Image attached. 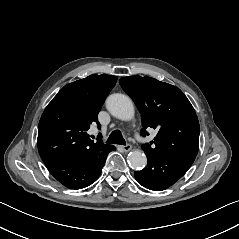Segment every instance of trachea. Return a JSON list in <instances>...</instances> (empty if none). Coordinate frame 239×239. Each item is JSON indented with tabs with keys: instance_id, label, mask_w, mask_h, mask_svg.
Masks as SVG:
<instances>
[{
	"instance_id": "trachea-1",
	"label": "trachea",
	"mask_w": 239,
	"mask_h": 239,
	"mask_svg": "<svg viewBox=\"0 0 239 239\" xmlns=\"http://www.w3.org/2000/svg\"><path fill=\"white\" fill-rule=\"evenodd\" d=\"M106 143L126 145L121 132L119 130H114L108 137Z\"/></svg>"
}]
</instances>
